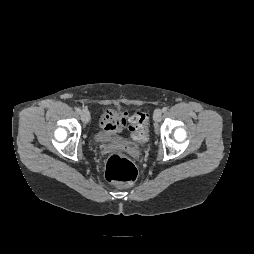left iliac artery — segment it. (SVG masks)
Here are the masks:
<instances>
[{
	"instance_id": "left-iliac-artery-1",
	"label": "left iliac artery",
	"mask_w": 254,
	"mask_h": 254,
	"mask_svg": "<svg viewBox=\"0 0 254 254\" xmlns=\"http://www.w3.org/2000/svg\"><path fill=\"white\" fill-rule=\"evenodd\" d=\"M167 111V107H163L162 112H166Z\"/></svg>"
}]
</instances>
